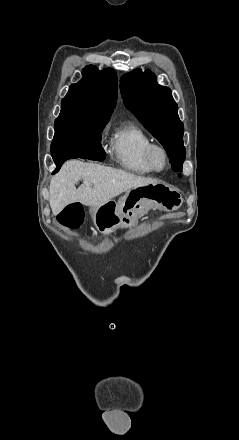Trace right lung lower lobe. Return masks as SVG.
<instances>
[{"label":"right lung lower lobe","instance_id":"1","mask_svg":"<svg viewBox=\"0 0 239 440\" xmlns=\"http://www.w3.org/2000/svg\"><path fill=\"white\" fill-rule=\"evenodd\" d=\"M105 156V152L101 145L88 144L79 146L77 148H70L65 151L52 154L53 160L57 165L54 173L60 169L64 161H66L67 159L80 157L83 159L102 161L105 159Z\"/></svg>","mask_w":239,"mask_h":440}]
</instances>
